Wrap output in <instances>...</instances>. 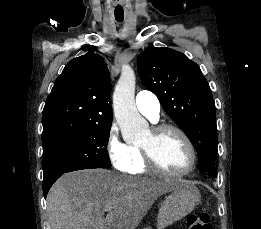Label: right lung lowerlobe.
Instances as JSON below:
<instances>
[{"label":"right lung lower lobe","mask_w":261,"mask_h":229,"mask_svg":"<svg viewBox=\"0 0 261 229\" xmlns=\"http://www.w3.org/2000/svg\"><path fill=\"white\" fill-rule=\"evenodd\" d=\"M64 173H59V174H55L51 177H48L47 179L44 180L43 182V194L44 197L46 198L47 193L50 189V187L52 186V184Z\"/></svg>","instance_id":"obj_1"}]
</instances>
